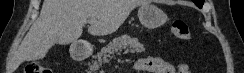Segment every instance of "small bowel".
Here are the masks:
<instances>
[{"instance_id":"obj_1","label":"small bowel","mask_w":244,"mask_h":73,"mask_svg":"<svg viewBox=\"0 0 244 73\" xmlns=\"http://www.w3.org/2000/svg\"><path fill=\"white\" fill-rule=\"evenodd\" d=\"M136 73H190L189 66L181 63L174 66L158 57H148L139 59L134 64Z\"/></svg>"}]
</instances>
